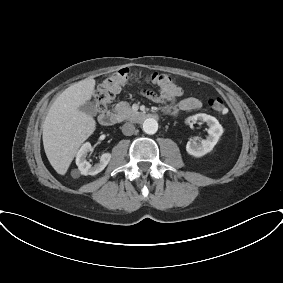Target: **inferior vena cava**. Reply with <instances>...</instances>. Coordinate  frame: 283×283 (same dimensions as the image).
Returning a JSON list of instances; mask_svg holds the SVG:
<instances>
[{"mask_svg":"<svg viewBox=\"0 0 283 283\" xmlns=\"http://www.w3.org/2000/svg\"><path fill=\"white\" fill-rule=\"evenodd\" d=\"M121 129L126 136H131L135 132V126L132 123H125Z\"/></svg>","mask_w":283,"mask_h":283,"instance_id":"inferior-vena-cava-1","label":"inferior vena cava"}]
</instances>
